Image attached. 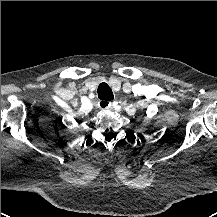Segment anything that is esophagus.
<instances>
[{
    "instance_id": "obj_1",
    "label": "esophagus",
    "mask_w": 217,
    "mask_h": 217,
    "mask_svg": "<svg viewBox=\"0 0 217 217\" xmlns=\"http://www.w3.org/2000/svg\"><path fill=\"white\" fill-rule=\"evenodd\" d=\"M99 104L105 106V105L108 104V102H107V101H104V100H100V101H99ZM109 104H110V103H109Z\"/></svg>"
}]
</instances>
